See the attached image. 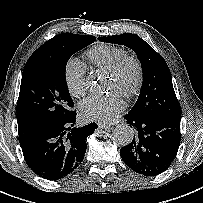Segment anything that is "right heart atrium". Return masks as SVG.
Returning a JSON list of instances; mask_svg holds the SVG:
<instances>
[{
	"mask_svg": "<svg viewBox=\"0 0 203 203\" xmlns=\"http://www.w3.org/2000/svg\"><path fill=\"white\" fill-rule=\"evenodd\" d=\"M64 80L68 92L73 97L84 95L86 91V68L84 64L76 58H70L65 65Z\"/></svg>",
	"mask_w": 203,
	"mask_h": 203,
	"instance_id": "obj_1",
	"label": "right heart atrium"
}]
</instances>
